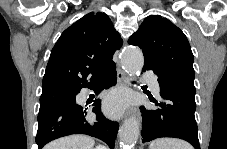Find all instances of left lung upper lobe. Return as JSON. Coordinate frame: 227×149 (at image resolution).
I'll list each match as a JSON object with an SVG mask.
<instances>
[{"mask_svg":"<svg viewBox=\"0 0 227 149\" xmlns=\"http://www.w3.org/2000/svg\"><path fill=\"white\" fill-rule=\"evenodd\" d=\"M128 43L143 50L146 65L153 66L169 81L195 94L191 47L185 34L171 21L160 15L146 17Z\"/></svg>","mask_w":227,"mask_h":149,"instance_id":"left-lung-upper-lobe-1","label":"left lung upper lobe"}]
</instances>
